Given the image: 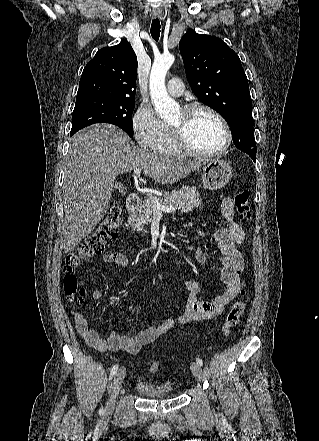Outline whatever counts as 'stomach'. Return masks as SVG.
<instances>
[{"mask_svg":"<svg viewBox=\"0 0 319 441\" xmlns=\"http://www.w3.org/2000/svg\"><path fill=\"white\" fill-rule=\"evenodd\" d=\"M232 173V167L227 162L212 159L203 167V187L208 190L220 189L228 183Z\"/></svg>","mask_w":319,"mask_h":441,"instance_id":"stomach-1","label":"stomach"}]
</instances>
